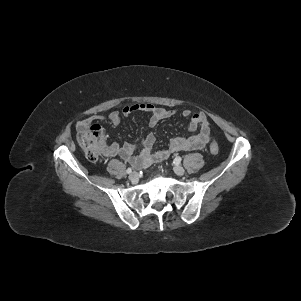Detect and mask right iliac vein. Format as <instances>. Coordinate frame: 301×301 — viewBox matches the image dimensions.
Segmentation results:
<instances>
[{
	"instance_id": "right-iliac-vein-1",
	"label": "right iliac vein",
	"mask_w": 301,
	"mask_h": 301,
	"mask_svg": "<svg viewBox=\"0 0 301 301\" xmlns=\"http://www.w3.org/2000/svg\"><path fill=\"white\" fill-rule=\"evenodd\" d=\"M129 179L131 180V181H135V180H137L138 179V174H137V172H132L130 175H129Z\"/></svg>"
}]
</instances>
